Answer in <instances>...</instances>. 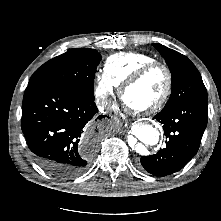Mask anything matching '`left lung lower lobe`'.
Wrapping results in <instances>:
<instances>
[{"mask_svg": "<svg viewBox=\"0 0 221 221\" xmlns=\"http://www.w3.org/2000/svg\"><path fill=\"white\" fill-rule=\"evenodd\" d=\"M208 100L191 99L163 108L154 118L163 124L166 147L157 154L141 157L146 171L166 176L181 170L197 153L207 125Z\"/></svg>", "mask_w": 221, "mask_h": 221, "instance_id": "obj_1", "label": "left lung lower lobe"}]
</instances>
